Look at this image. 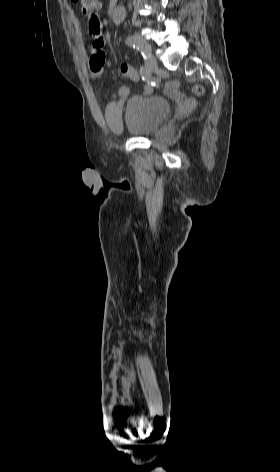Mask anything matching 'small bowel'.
Instances as JSON below:
<instances>
[{"instance_id": "small-bowel-1", "label": "small bowel", "mask_w": 280, "mask_h": 472, "mask_svg": "<svg viewBox=\"0 0 280 472\" xmlns=\"http://www.w3.org/2000/svg\"><path fill=\"white\" fill-rule=\"evenodd\" d=\"M89 35L92 39V42L88 68L90 75L95 78L105 72V53L103 50L104 37L100 21H89ZM146 91H150V89L146 88ZM127 96V87L123 86L118 90L117 93L113 94L109 100L105 110V117L110 127L115 128L118 126L119 116Z\"/></svg>"}]
</instances>
